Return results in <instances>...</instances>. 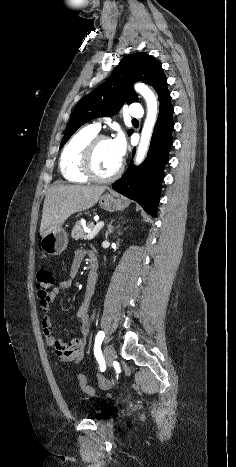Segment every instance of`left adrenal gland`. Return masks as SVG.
<instances>
[{"instance_id": "a2214340", "label": "left adrenal gland", "mask_w": 236, "mask_h": 467, "mask_svg": "<svg viewBox=\"0 0 236 467\" xmlns=\"http://www.w3.org/2000/svg\"><path fill=\"white\" fill-rule=\"evenodd\" d=\"M119 227H120V225L117 226V228H119ZM113 231H114V228H113L112 222H111V223L109 224V226H108V231H107L106 235L111 234Z\"/></svg>"}]
</instances>
